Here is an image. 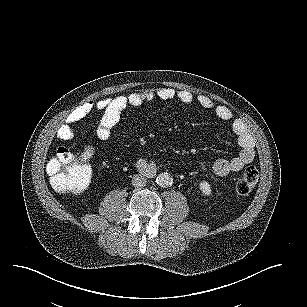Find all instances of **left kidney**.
Instances as JSON below:
<instances>
[{"label": "left kidney", "mask_w": 307, "mask_h": 307, "mask_svg": "<svg viewBox=\"0 0 307 307\" xmlns=\"http://www.w3.org/2000/svg\"><path fill=\"white\" fill-rule=\"evenodd\" d=\"M199 188L203 195L210 196L211 193V186L207 181H202L199 185Z\"/></svg>", "instance_id": "obj_1"}]
</instances>
